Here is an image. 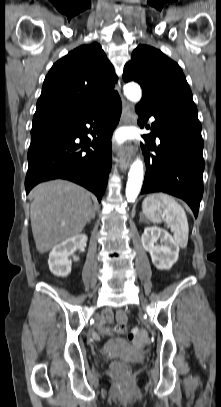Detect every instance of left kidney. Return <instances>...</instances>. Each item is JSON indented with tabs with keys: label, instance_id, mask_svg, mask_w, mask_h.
I'll return each instance as SVG.
<instances>
[{
	"label": "left kidney",
	"instance_id": "obj_1",
	"mask_svg": "<svg viewBox=\"0 0 221 407\" xmlns=\"http://www.w3.org/2000/svg\"><path fill=\"white\" fill-rule=\"evenodd\" d=\"M158 239L162 242L161 246H155ZM141 241L144 249L150 253L156 268L169 270L178 260L179 245L166 230L158 227H146Z\"/></svg>",
	"mask_w": 221,
	"mask_h": 407
}]
</instances>
